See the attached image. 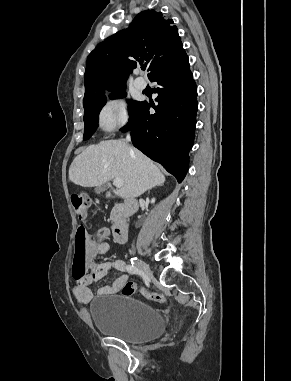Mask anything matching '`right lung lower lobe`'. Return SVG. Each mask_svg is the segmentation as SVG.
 <instances>
[{
	"mask_svg": "<svg viewBox=\"0 0 291 381\" xmlns=\"http://www.w3.org/2000/svg\"><path fill=\"white\" fill-rule=\"evenodd\" d=\"M157 82V104L140 102L130 123L133 145L159 162L180 183L188 170V152L194 141L197 88L184 49L149 77ZM156 111L150 114L149 109Z\"/></svg>",
	"mask_w": 291,
	"mask_h": 381,
	"instance_id": "obj_1",
	"label": "right lung lower lobe"
}]
</instances>
